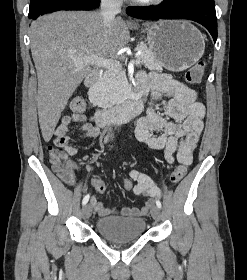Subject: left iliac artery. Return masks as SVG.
Listing matches in <instances>:
<instances>
[{"mask_svg": "<svg viewBox=\"0 0 247 280\" xmlns=\"http://www.w3.org/2000/svg\"><path fill=\"white\" fill-rule=\"evenodd\" d=\"M156 205H157L158 208L162 207L161 202L158 199L156 200Z\"/></svg>", "mask_w": 247, "mask_h": 280, "instance_id": "44dca946", "label": "left iliac artery"}]
</instances>
